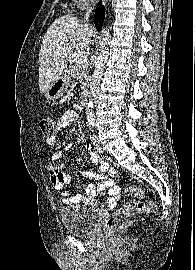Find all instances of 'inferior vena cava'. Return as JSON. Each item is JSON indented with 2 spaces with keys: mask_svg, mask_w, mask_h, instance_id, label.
<instances>
[{
  "mask_svg": "<svg viewBox=\"0 0 195 270\" xmlns=\"http://www.w3.org/2000/svg\"><path fill=\"white\" fill-rule=\"evenodd\" d=\"M91 11H92V8H90V9L86 12L85 17H84L86 21L88 20Z\"/></svg>",
  "mask_w": 195,
  "mask_h": 270,
  "instance_id": "obj_1",
  "label": "inferior vena cava"
}]
</instances>
